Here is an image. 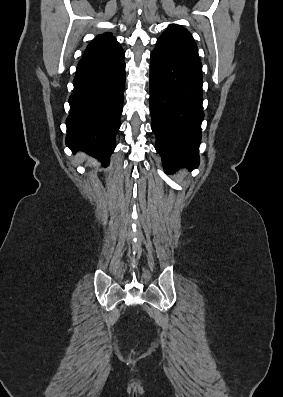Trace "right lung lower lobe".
Listing matches in <instances>:
<instances>
[{
    "label": "right lung lower lobe",
    "mask_w": 283,
    "mask_h": 397,
    "mask_svg": "<svg viewBox=\"0 0 283 397\" xmlns=\"http://www.w3.org/2000/svg\"><path fill=\"white\" fill-rule=\"evenodd\" d=\"M125 79L124 57L76 70L65 140L72 151H85L108 164L120 128Z\"/></svg>",
    "instance_id": "98d812e1"
}]
</instances>
